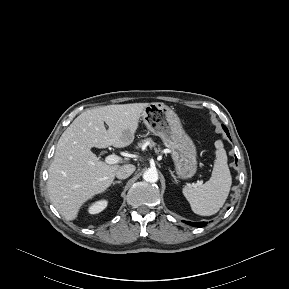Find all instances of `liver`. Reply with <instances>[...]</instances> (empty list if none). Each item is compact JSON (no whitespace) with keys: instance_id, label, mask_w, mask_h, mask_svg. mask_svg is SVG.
Listing matches in <instances>:
<instances>
[{"instance_id":"obj_1","label":"liver","mask_w":289,"mask_h":289,"mask_svg":"<svg viewBox=\"0 0 289 289\" xmlns=\"http://www.w3.org/2000/svg\"><path fill=\"white\" fill-rule=\"evenodd\" d=\"M148 105L132 103L90 109L63 132L48 169L47 191L52 204L66 220H75L81 206L104 192L121 167L100 161L91 148H124L132 144L141 114Z\"/></svg>"}]
</instances>
